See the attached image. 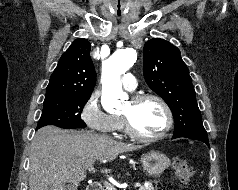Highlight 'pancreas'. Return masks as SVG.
<instances>
[{"label": "pancreas", "instance_id": "obj_1", "mask_svg": "<svg viewBox=\"0 0 238 190\" xmlns=\"http://www.w3.org/2000/svg\"><path fill=\"white\" fill-rule=\"evenodd\" d=\"M112 189H113V187L106 186L105 189H101V190H112ZM139 190H154V187H153V185L150 183L148 186H141V187L139 188Z\"/></svg>", "mask_w": 238, "mask_h": 190}]
</instances>
